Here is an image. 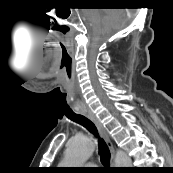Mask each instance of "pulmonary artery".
I'll return each mask as SVG.
<instances>
[{"label":"pulmonary artery","instance_id":"1","mask_svg":"<svg viewBox=\"0 0 173 173\" xmlns=\"http://www.w3.org/2000/svg\"><path fill=\"white\" fill-rule=\"evenodd\" d=\"M93 164H88L87 167L88 169H92Z\"/></svg>","mask_w":173,"mask_h":173}]
</instances>
